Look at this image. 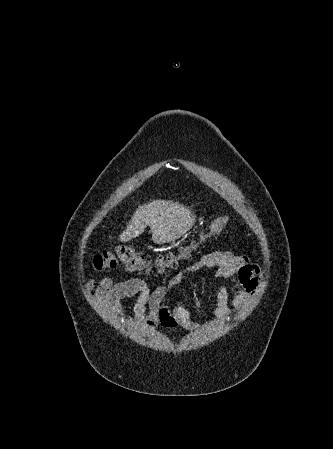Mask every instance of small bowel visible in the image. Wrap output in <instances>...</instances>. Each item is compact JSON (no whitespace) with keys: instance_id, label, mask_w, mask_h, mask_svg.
<instances>
[{"instance_id":"c3829d8e","label":"small bowel","mask_w":333,"mask_h":449,"mask_svg":"<svg viewBox=\"0 0 333 449\" xmlns=\"http://www.w3.org/2000/svg\"><path fill=\"white\" fill-rule=\"evenodd\" d=\"M203 268L215 269L216 277L226 280L218 284L213 313L218 319H226L230 314L228 302L233 299L236 308L244 307L259 286L261 271L245 256L220 251L204 255L199 261L189 265L173 276L167 285L150 291L148 285L139 278L113 282L105 277L89 280L88 287L95 290L99 301L116 316L123 315L120 301L137 297L133 313L138 324L153 328L161 326L170 331H191L196 324L182 302L170 307L166 298L170 290L180 286L185 274H196Z\"/></svg>"}]
</instances>
